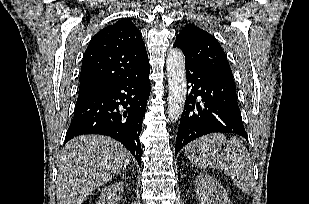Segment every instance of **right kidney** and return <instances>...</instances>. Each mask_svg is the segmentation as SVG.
I'll use <instances>...</instances> for the list:
<instances>
[{"label": "right kidney", "mask_w": 309, "mask_h": 204, "mask_svg": "<svg viewBox=\"0 0 309 204\" xmlns=\"http://www.w3.org/2000/svg\"><path fill=\"white\" fill-rule=\"evenodd\" d=\"M123 186V182H118L104 188L97 204H118L123 192Z\"/></svg>", "instance_id": "right-kidney-1"}]
</instances>
